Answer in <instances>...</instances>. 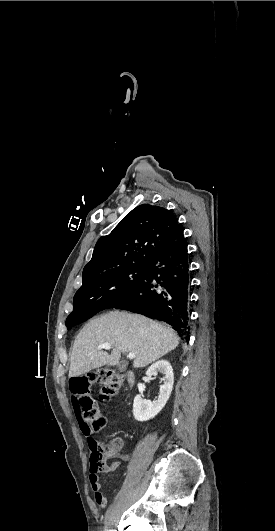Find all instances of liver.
<instances>
[{
  "label": "liver",
  "instance_id": "6515ba94",
  "mask_svg": "<svg viewBox=\"0 0 275 531\" xmlns=\"http://www.w3.org/2000/svg\"><path fill=\"white\" fill-rule=\"evenodd\" d=\"M103 343H111V355L98 351ZM179 345V337L171 327H164L142 315L109 311L89 321L77 335L70 361L69 377H79L91 369L119 365L121 353H134L133 367H147Z\"/></svg>",
  "mask_w": 275,
  "mask_h": 531
}]
</instances>
